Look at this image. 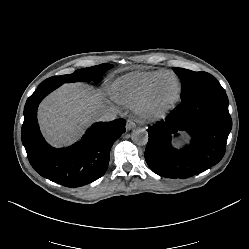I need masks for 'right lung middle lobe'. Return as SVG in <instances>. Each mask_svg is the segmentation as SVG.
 <instances>
[{
  "mask_svg": "<svg viewBox=\"0 0 249 249\" xmlns=\"http://www.w3.org/2000/svg\"><path fill=\"white\" fill-rule=\"evenodd\" d=\"M113 68V65L103 63L97 66L83 68L75 71L70 75H61V76H53L44 80L40 83L39 86L44 85H62L63 83L77 82V81H85V82H100L103 75L107 72V70Z\"/></svg>",
  "mask_w": 249,
  "mask_h": 249,
  "instance_id": "right-lung-middle-lobe-1",
  "label": "right lung middle lobe"
}]
</instances>
